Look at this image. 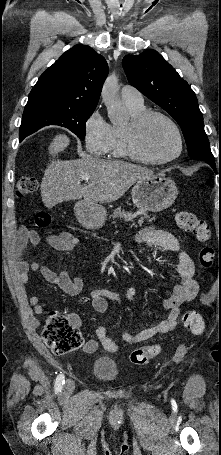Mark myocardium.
<instances>
[{
  "label": "myocardium",
  "mask_w": 221,
  "mask_h": 455,
  "mask_svg": "<svg viewBox=\"0 0 221 455\" xmlns=\"http://www.w3.org/2000/svg\"><path fill=\"white\" fill-rule=\"evenodd\" d=\"M154 118H160L167 122L173 129L177 141H178V151L167 158H156L153 157L142 145V135L146 125ZM125 145L131 155L134 157L152 164H165L179 158L184 149V141L182 133L175 123V121L168 115L155 111L148 110L140 114L139 116L133 118L125 128Z\"/></svg>",
  "instance_id": "1"
}]
</instances>
